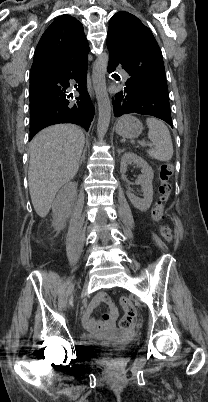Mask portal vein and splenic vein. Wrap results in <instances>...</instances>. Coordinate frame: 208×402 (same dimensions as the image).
<instances>
[{"instance_id": "portal-vein-and-splenic-vein-1", "label": "portal vein and splenic vein", "mask_w": 208, "mask_h": 402, "mask_svg": "<svg viewBox=\"0 0 208 402\" xmlns=\"http://www.w3.org/2000/svg\"><path fill=\"white\" fill-rule=\"evenodd\" d=\"M142 144H146V142H142ZM146 146H154V144H146Z\"/></svg>"}]
</instances>
